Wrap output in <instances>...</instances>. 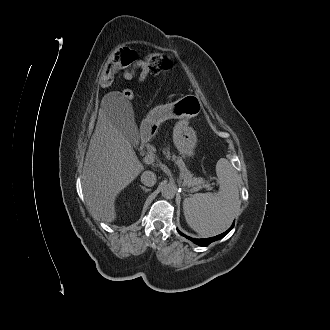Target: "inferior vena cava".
<instances>
[{
    "label": "inferior vena cava",
    "instance_id": "602c4592",
    "mask_svg": "<svg viewBox=\"0 0 330 330\" xmlns=\"http://www.w3.org/2000/svg\"><path fill=\"white\" fill-rule=\"evenodd\" d=\"M157 181L156 174L152 171H144L141 175V182L148 187L155 185Z\"/></svg>",
    "mask_w": 330,
    "mask_h": 330
}]
</instances>
